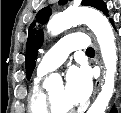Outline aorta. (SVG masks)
I'll use <instances>...</instances> for the list:
<instances>
[{"label": "aorta", "mask_w": 121, "mask_h": 113, "mask_svg": "<svg viewBox=\"0 0 121 113\" xmlns=\"http://www.w3.org/2000/svg\"><path fill=\"white\" fill-rule=\"evenodd\" d=\"M80 23L86 24L96 35L106 68L104 85L87 113H104L114 91V77L117 68L114 34L108 19L95 9H68L54 15L49 20L47 29L52 35H58ZM56 79V75H51L45 80V86L51 85Z\"/></svg>", "instance_id": "1"}]
</instances>
